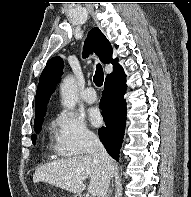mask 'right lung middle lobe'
<instances>
[{
	"label": "right lung middle lobe",
	"mask_w": 191,
	"mask_h": 197,
	"mask_svg": "<svg viewBox=\"0 0 191 197\" xmlns=\"http://www.w3.org/2000/svg\"><path fill=\"white\" fill-rule=\"evenodd\" d=\"M42 122H43V121H41L40 123L34 125V131H35L36 133H38V132L40 131L41 126H42ZM31 139H32V143H35L36 135H32Z\"/></svg>",
	"instance_id": "right-lung-middle-lobe-1"
}]
</instances>
